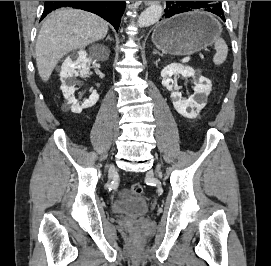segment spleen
Here are the masks:
<instances>
[{"label": "spleen", "mask_w": 271, "mask_h": 266, "mask_svg": "<svg viewBox=\"0 0 271 266\" xmlns=\"http://www.w3.org/2000/svg\"><path fill=\"white\" fill-rule=\"evenodd\" d=\"M214 46L216 50V54L213 57V62L215 65H221L227 57L228 46L223 38L220 36H216L214 38Z\"/></svg>", "instance_id": "obj_1"}]
</instances>
